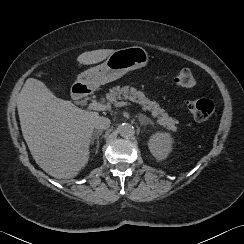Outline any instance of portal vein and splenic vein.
Segmentation results:
<instances>
[{
  "label": "portal vein and splenic vein",
  "instance_id": "obj_1",
  "mask_svg": "<svg viewBox=\"0 0 244 244\" xmlns=\"http://www.w3.org/2000/svg\"><path fill=\"white\" fill-rule=\"evenodd\" d=\"M131 105L130 102H118L116 103L117 107H123V106H129ZM88 108L91 110H97V111H101V110H105L107 108V106L105 104H101L99 102H92L88 105Z\"/></svg>",
  "mask_w": 244,
  "mask_h": 244
}]
</instances>
